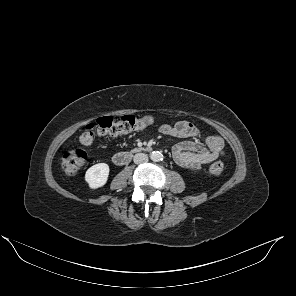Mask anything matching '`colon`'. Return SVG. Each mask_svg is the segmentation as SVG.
<instances>
[{
    "instance_id": "5ec220e1",
    "label": "colon",
    "mask_w": 296,
    "mask_h": 296,
    "mask_svg": "<svg viewBox=\"0 0 296 296\" xmlns=\"http://www.w3.org/2000/svg\"><path fill=\"white\" fill-rule=\"evenodd\" d=\"M154 117L151 115L135 116L125 115L119 119L111 116L98 118L95 122L88 124L80 136L83 144H91L96 137L107 135H118L133 130L142 129L151 125ZM87 162V154L81 149H72L63 154L62 169L68 175L76 174ZM224 170L221 162L213 163L209 167V173L213 176L220 175Z\"/></svg>"
}]
</instances>
